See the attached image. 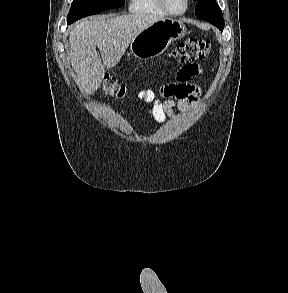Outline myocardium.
<instances>
[{
  "label": "myocardium",
  "mask_w": 288,
  "mask_h": 293,
  "mask_svg": "<svg viewBox=\"0 0 288 293\" xmlns=\"http://www.w3.org/2000/svg\"><path fill=\"white\" fill-rule=\"evenodd\" d=\"M159 6L169 15H173V16H180V15H183L188 7H189V0H185V7L183 10H181L180 12H175V11H172L168 5L166 4V1L165 0H157Z\"/></svg>",
  "instance_id": "myocardium-1"
}]
</instances>
